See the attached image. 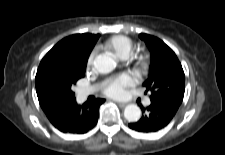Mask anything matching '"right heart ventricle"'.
<instances>
[{
    "label": "right heart ventricle",
    "instance_id": "right-heart-ventricle-1",
    "mask_svg": "<svg viewBox=\"0 0 225 155\" xmlns=\"http://www.w3.org/2000/svg\"><path fill=\"white\" fill-rule=\"evenodd\" d=\"M132 45L133 44L130 38L124 35H114L105 42L104 47L115 56L124 58L129 56Z\"/></svg>",
    "mask_w": 225,
    "mask_h": 155
}]
</instances>
